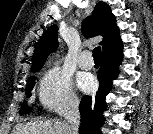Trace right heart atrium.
Instances as JSON below:
<instances>
[{"label":"right heart atrium","mask_w":153,"mask_h":134,"mask_svg":"<svg viewBox=\"0 0 153 134\" xmlns=\"http://www.w3.org/2000/svg\"><path fill=\"white\" fill-rule=\"evenodd\" d=\"M38 98L43 107L58 114L74 110L79 102L70 76L57 65L50 66L42 74Z\"/></svg>","instance_id":"right-heart-atrium-1"}]
</instances>
